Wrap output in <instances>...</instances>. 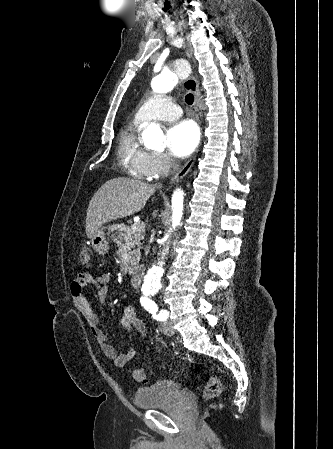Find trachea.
<instances>
[{
  "instance_id": "trachea-1",
  "label": "trachea",
  "mask_w": 333,
  "mask_h": 449,
  "mask_svg": "<svg viewBox=\"0 0 333 449\" xmlns=\"http://www.w3.org/2000/svg\"><path fill=\"white\" fill-rule=\"evenodd\" d=\"M185 101L187 104L192 105L194 102V97L191 93L187 94L185 97Z\"/></svg>"
}]
</instances>
